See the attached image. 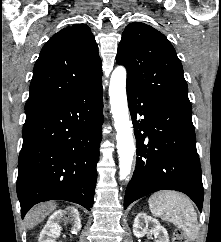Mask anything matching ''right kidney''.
Here are the masks:
<instances>
[{"mask_svg": "<svg viewBox=\"0 0 221 242\" xmlns=\"http://www.w3.org/2000/svg\"><path fill=\"white\" fill-rule=\"evenodd\" d=\"M72 223V233H77L81 230V220L78 210L75 207L69 206L63 210L55 211L48 219L46 225L40 232L39 242H56V238L60 235V222L64 216Z\"/></svg>", "mask_w": 221, "mask_h": 242, "instance_id": "right-kidney-1", "label": "right kidney"}]
</instances>
